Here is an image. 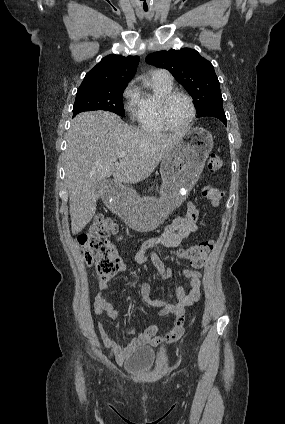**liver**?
<instances>
[{
	"instance_id": "liver-1",
	"label": "liver",
	"mask_w": 285,
	"mask_h": 424,
	"mask_svg": "<svg viewBox=\"0 0 285 424\" xmlns=\"http://www.w3.org/2000/svg\"><path fill=\"white\" fill-rule=\"evenodd\" d=\"M182 137L138 129L111 112L78 114L67 134L64 166L72 234L94 216L100 180L111 175L117 183L145 180ZM121 152H126L123 158L118 157Z\"/></svg>"
}]
</instances>
